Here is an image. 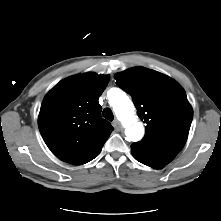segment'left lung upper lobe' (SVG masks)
Here are the masks:
<instances>
[{
	"label": "left lung upper lobe",
	"mask_w": 221,
	"mask_h": 221,
	"mask_svg": "<svg viewBox=\"0 0 221 221\" xmlns=\"http://www.w3.org/2000/svg\"><path fill=\"white\" fill-rule=\"evenodd\" d=\"M114 77L117 85L132 96L138 116L146 123L144 138L132 145L168 164L183 148L193 118L184 89L172 78L144 67Z\"/></svg>",
	"instance_id": "obj_1"
}]
</instances>
